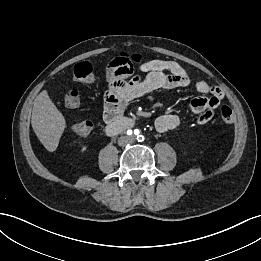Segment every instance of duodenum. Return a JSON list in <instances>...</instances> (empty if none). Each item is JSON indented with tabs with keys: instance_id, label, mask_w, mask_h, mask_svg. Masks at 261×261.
Listing matches in <instances>:
<instances>
[{
	"instance_id": "410a0bca",
	"label": "duodenum",
	"mask_w": 261,
	"mask_h": 261,
	"mask_svg": "<svg viewBox=\"0 0 261 261\" xmlns=\"http://www.w3.org/2000/svg\"><path fill=\"white\" fill-rule=\"evenodd\" d=\"M133 126V121L128 118H120L116 121L108 123L106 126V132L109 135H115L121 133Z\"/></svg>"
}]
</instances>
